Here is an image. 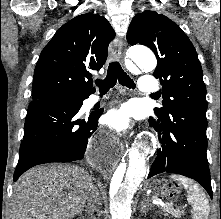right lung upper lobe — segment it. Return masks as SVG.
Here are the masks:
<instances>
[{
    "label": "right lung upper lobe",
    "mask_w": 221,
    "mask_h": 219,
    "mask_svg": "<svg viewBox=\"0 0 221 219\" xmlns=\"http://www.w3.org/2000/svg\"><path fill=\"white\" fill-rule=\"evenodd\" d=\"M114 37L109 22L98 14H82L64 24L40 54L33 101L93 93L91 71L102 68Z\"/></svg>",
    "instance_id": "1"
}]
</instances>
